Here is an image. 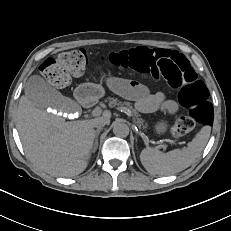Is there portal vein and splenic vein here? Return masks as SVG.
<instances>
[{
    "instance_id": "portal-vein-and-splenic-vein-1",
    "label": "portal vein and splenic vein",
    "mask_w": 231,
    "mask_h": 231,
    "mask_svg": "<svg viewBox=\"0 0 231 231\" xmlns=\"http://www.w3.org/2000/svg\"><path fill=\"white\" fill-rule=\"evenodd\" d=\"M123 111V110H121ZM102 113V109L100 107H96L95 109L92 110L91 115L92 116H99ZM162 147L165 149V146L162 145Z\"/></svg>"
}]
</instances>
